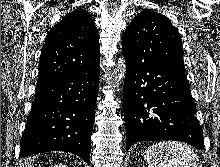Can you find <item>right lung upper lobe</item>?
<instances>
[{
  "label": "right lung upper lobe",
  "instance_id": "cb5924a9",
  "mask_svg": "<svg viewBox=\"0 0 220 167\" xmlns=\"http://www.w3.org/2000/svg\"><path fill=\"white\" fill-rule=\"evenodd\" d=\"M98 31L82 8L72 11L49 32L39 62V84L91 69L100 62Z\"/></svg>",
  "mask_w": 220,
  "mask_h": 167
}]
</instances>
